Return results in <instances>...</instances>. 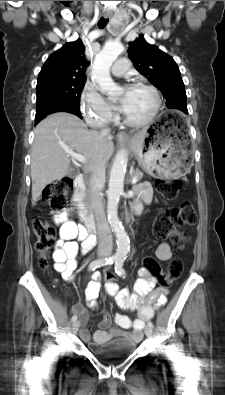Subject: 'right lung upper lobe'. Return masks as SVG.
Listing matches in <instances>:
<instances>
[{
  "mask_svg": "<svg viewBox=\"0 0 225 395\" xmlns=\"http://www.w3.org/2000/svg\"><path fill=\"white\" fill-rule=\"evenodd\" d=\"M84 51L85 47L78 39L51 54L39 73L37 85L57 81H86L85 68L88 62Z\"/></svg>",
  "mask_w": 225,
  "mask_h": 395,
  "instance_id": "cb5924a9",
  "label": "right lung upper lobe"
}]
</instances>
